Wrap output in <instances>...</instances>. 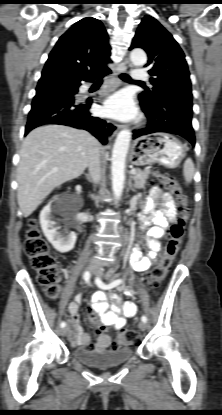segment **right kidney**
<instances>
[{"label": "right kidney", "mask_w": 222, "mask_h": 415, "mask_svg": "<svg viewBox=\"0 0 222 415\" xmlns=\"http://www.w3.org/2000/svg\"><path fill=\"white\" fill-rule=\"evenodd\" d=\"M60 205L48 204L40 212V225L47 240L61 253L72 250L75 246L77 236L75 232L63 235L58 231L56 222L53 220V213L58 212Z\"/></svg>", "instance_id": "1"}]
</instances>
